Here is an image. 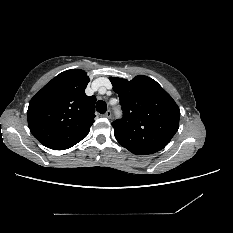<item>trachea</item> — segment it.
Here are the masks:
<instances>
[{
  "label": "trachea",
  "instance_id": "trachea-1",
  "mask_svg": "<svg viewBox=\"0 0 233 233\" xmlns=\"http://www.w3.org/2000/svg\"><path fill=\"white\" fill-rule=\"evenodd\" d=\"M96 110L100 113V114H104L107 110V104L106 102L99 100L96 104Z\"/></svg>",
  "mask_w": 233,
  "mask_h": 233
}]
</instances>
